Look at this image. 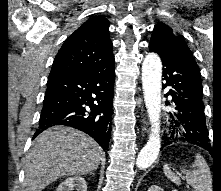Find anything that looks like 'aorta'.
I'll use <instances>...</instances> for the list:
<instances>
[{"mask_svg":"<svg viewBox=\"0 0 221 191\" xmlns=\"http://www.w3.org/2000/svg\"><path fill=\"white\" fill-rule=\"evenodd\" d=\"M162 62L158 54L149 53L142 63V88L145 106L151 124L149 139L136 160L139 169L148 168L156 160L160 147Z\"/></svg>","mask_w":221,"mask_h":191,"instance_id":"1","label":"aorta"}]
</instances>
